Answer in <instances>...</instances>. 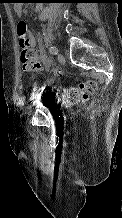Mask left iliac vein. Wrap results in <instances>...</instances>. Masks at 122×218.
Wrapping results in <instances>:
<instances>
[{"label": "left iliac vein", "instance_id": "left-iliac-vein-1", "mask_svg": "<svg viewBox=\"0 0 122 218\" xmlns=\"http://www.w3.org/2000/svg\"><path fill=\"white\" fill-rule=\"evenodd\" d=\"M57 57H58V61H59L61 64H64V63H65V57H64L61 53H58ZM41 95H42V92H38V93L35 95V97H34V99H33V104H35V103L40 99Z\"/></svg>", "mask_w": 122, "mask_h": 218}]
</instances>
